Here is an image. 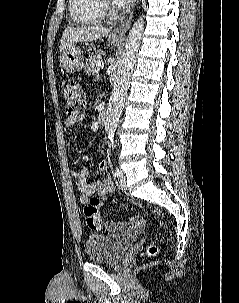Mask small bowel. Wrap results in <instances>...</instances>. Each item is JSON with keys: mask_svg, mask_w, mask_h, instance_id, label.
Masks as SVG:
<instances>
[{"mask_svg": "<svg viewBox=\"0 0 239 303\" xmlns=\"http://www.w3.org/2000/svg\"><path fill=\"white\" fill-rule=\"evenodd\" d=\"M83 116L75 118H66L65 125L72 127L75 124L83 121ZM98 170L104 174V178L93 183L88 181L89 171L87 168L75 170L72 172V176L75 179L76 188L80 192V200L82 203H87L94 194H105L112 192L114 189L113 183L108 175V165L105 161H101L98 164ZM144 223L141 217L135 216L128 221L117 223L114 221L107 222V227L113 231L127 232L132 229H141Z\"/></svg>", "mask_w": 239, "mask_h": 303, "instance_id": "c3829d8e", "label": "small bowel"}]
</instances>
